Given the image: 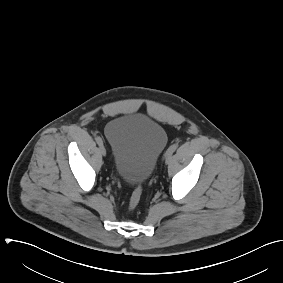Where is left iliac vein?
Segmentation results:
<instances>
[{
  "mask_svg": "<svg viewBox=\"0 0 283 283\" xmlns=\"http://www.w3.org/2000/svg\"><path fill=\"white\" fill-rule=\"evenodd\" d=\"M170 159H171V156L168 157V158H165V162L168 163L170 161Z\"/></svg>",
  "mask_w": 283,
  "mask_h": 283,
  "instance_id": "left-iliac-vein-1",
  "label": "left iliac vein"
}]
</instances>
